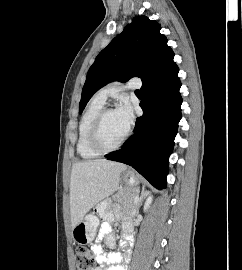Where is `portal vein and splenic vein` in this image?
<instances>
[{
  "label": "portal vein and splenic vein",
  "mask_w": 242,
  "mask_h": 270,
  "mask_svg": "<svg viewBox=\"0 0 242 270\" xmlns=\"http://www.w3.org/2000/svg\"><path fill=\"white\" fill-rule=\"evenodd\" d=\"M137 201H138V197L136 196V197H135V203H137Z\"/></svg>",
  "instance_id": "1"
}]
</instances>
